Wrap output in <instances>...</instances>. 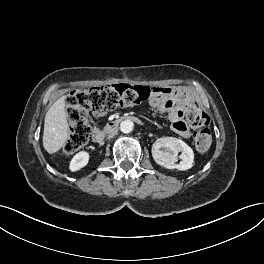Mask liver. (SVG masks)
I'll return each instance as SVG.
<instances>
[{"instance_id":"obj_1","label":"liver","mask_w":264,"mask_h":264,"mask_svg":"<svg viewBox=\"0 0 264 264\" xmlns=\"http://www.w3.org/2000/svg\"><path fill=\"white\" fill-rule=\"evenodd\" d=\"M68 138V122L65 112V96L56 100L45 115L43 147L53 154L59 151Z\"/></svg>"}]
</instances>
